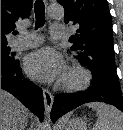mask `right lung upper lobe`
<instances>
[{"label": "right lung upper lobe", "instance_id": "1", "mask_svg": "<svg viewBox=\"0 0 123 130\" xmlns=\"http://www.w3.org/2000/svg\"><path fill=\"white\" fill-rule=\"evenodd\" d=\"M31 8L32 0H1V44H7L6 34L28 17Z\"/></svg>", "mask_w": 123, "mask_h": 130}]
</instances>
